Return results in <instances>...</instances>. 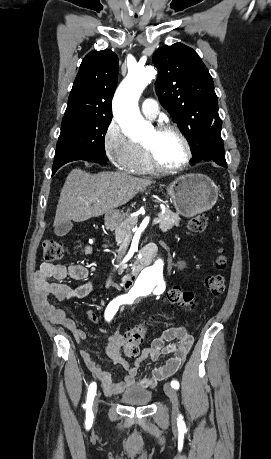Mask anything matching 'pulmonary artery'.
I'll return each instance as SVG.
<instances>
[{
  "label": "pulmonary artery",
  "instance_id": "e3ab8cb5",
  "mask_svg": "<svg viewBox=\"0 0 271 459\" xmlns=\"http://www.w3.org/2000/svg\"><path fill=\"white\" fill-rule=\"evenodd\" d=\"M141 111L149 119H154L160 112V107L157 101L153 99H145L141 105Z\"/></svg>",
  "mask_w": 271,
  "mask_h": 459
}]
</instances>
